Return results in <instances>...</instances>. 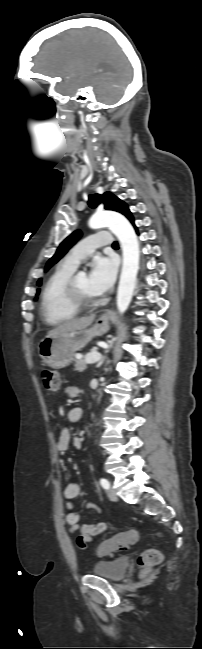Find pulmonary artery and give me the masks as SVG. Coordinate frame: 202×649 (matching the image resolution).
Returning a JSON list of instances; mask_svg holds the SVG:
<instances>
[{"instance_id": "pulmonary-artery-1", "label": "pulmonary artery", "mask_w": 202, "mask_h": 649, "mask_svg": "<svg viewBox=\"0 0 202 649\" xmlns=\"http://www.w3.org/2000/svg\"><path fill=\"white\" fill-rule=\"evenodd\" d=\"M112 242L113 239L109 232L100 231L94 233L74 245L65 256L63 263L76 269L80 261L91 254L96 248L110 246Z\"/></svg>"}]
</instances>
